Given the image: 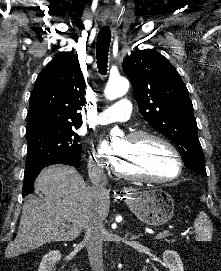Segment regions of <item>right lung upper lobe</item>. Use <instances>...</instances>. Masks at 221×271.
I'll return each mask as SVG.
<instances>
[{
	"mask_svg": "<svg viewBox=\"0 0 221 271\" xmlns=\"http://www.w3.org/2000/svg\"><path fill=\"white\" fill-rule=\"evenodd\" d=\"M85 82L77 57L59 55L36 79L30 96L26 131L40 126L78 128L84 105Z\"/></svg>",
	"mask_w": 221,
	"mask_h": 271,
	"instance_id": "right-lung-upper-lobe-1",
	"label": "right lung upper lobe"
}]
</instances>
